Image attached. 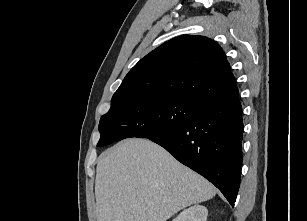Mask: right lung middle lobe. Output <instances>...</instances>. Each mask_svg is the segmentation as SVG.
Segmentation results:
<instances>
[{
    "instance_id": "right-lung-middle-lobe-1",
    "label": "right lung middle lobe",
    "mask_w": 307,
    "mask_h": 221,
    "mask_svg": "<svg viewBox=\"0 0 307 221\" xmlns=\"http://www.w3.org/2000/svg\"><path fill=\"white\" fill-rule=\"evenodd\" d=\"M203 106L176 98L142 96L111 103L101 117L97 146L129 137L149 138L167 133L189 122Z\"/></svg>"
}]
</instances>
